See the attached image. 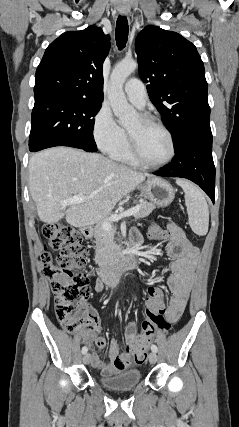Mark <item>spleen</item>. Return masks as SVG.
Masks as SVG:
<instances>
[{"label": "spleen", "instance_id": "1", "mask_svg": "<svg viewBox=\"0 0 239 427\" xmlns=\"http://www.w3.org/2000/svg\"><path fill=\"white\" fill-rule=\"evenodd\" d=\"M176 183L185 193V206L192 231L199 236L206 235L209 226V209L203 193L187 180L178 179Z\"/></svg>", "mask_w": 239, "mask_h": 427}]
</instances>
